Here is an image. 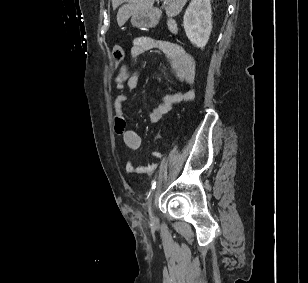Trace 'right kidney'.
I'll use <instances>...</instances> for the list:
<instances>
[{
  "label": "right kidney",
  "mask_w": 308,
  "mask_h": 283,
  "mask_svg": "<svg viewBox=\"0 0 308 283\" xmlns=\"http://www.w3.org/2000/svg\"><path fill=\"white\" fill-rule=\"evenodd\" d=\"M210 0H191L183 18V27L190 42L204 48L212 30Z\"/></svg>",
  "instance_id": "1"
}]
</instances>
